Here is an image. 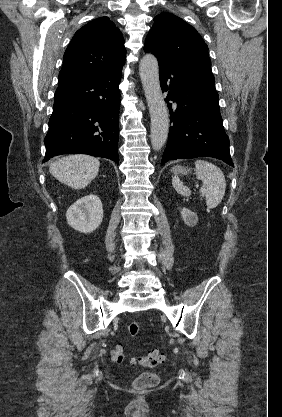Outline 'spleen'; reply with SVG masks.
<instances>
[{"label":"spleen","instance_id":"obj_1","mask_svg":"<svg viewBox=\"0 0 282 417\" xmlns=\"http://www.w3.org/2000/svg\"><path fill=\"white\" fill-rule=\"evenodd\" d=\"M195 166L197 178L203 180V186L200 188V196H206L207 209H215V206H218L224 198L226 190L225 176L221 168H218L212 162H207V160H196ZM172 184L178 194L190 196V188L184 186L178 176H173Z\"/></svg>","mask_w":282,"mask_h":417}]
</instances>
